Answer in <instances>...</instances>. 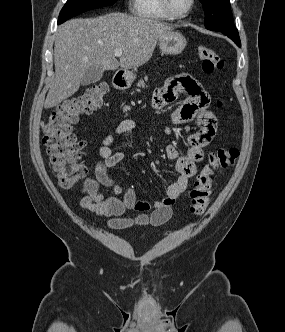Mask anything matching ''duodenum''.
I'll return each mask as SVG.
<instances>
[{
  "instance_id": "duodenum-1",
  "label": "duodenum",
  "mask_w": 285,
  "mask_h": 332,
  "mask_svg": "<svg viewBox=\"0 0 285 332\" xmlns=\"http://www.w3.org/2000/svg\"><path fill=\"white\" fill-rule=\"evenodd\" d=\"M114 84L117 88H124L126 85V80L123 74L119 73L114 78Z\"/></svg>"
}]
</instances>
